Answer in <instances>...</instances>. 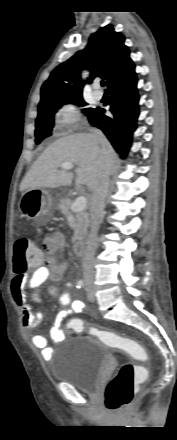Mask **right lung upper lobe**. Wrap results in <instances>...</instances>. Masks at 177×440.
Instances as JSON below:
<instances>
[{"mask_svg":"<svg viewBox=\"0 0 177 440\" xmlns=\"http://www.w3.org/2000/svg\"><path fill=\"white\" fill-rule=\"evenodd\" d=\"M125 37L112 25L101 27L93 33L84 50L78 51L66 62L57 66L41 87L39 105L82 96L85 81L84 69L90 71L89 82L96 76L107 80V85L134 65Z\"/></svg>","mask_w":177,"mask_h":440,"instance_id":"right-lung-upper-lobe-1","label":"right lung upper lobe"}]
</instances>
